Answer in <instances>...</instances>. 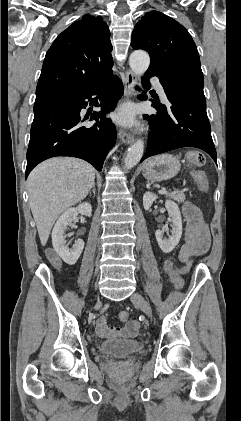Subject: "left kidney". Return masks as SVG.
<instances>
[{"label":"left kidney","mask_w":241,"mask_h":421,"mask_svg":"<svg viewBox=\"0 0 241 421\" xmlns=\"http://www.w3.org/2000/svg\"><path fill=\"white\" fill-rule=\"evenodd\" d=\"M157 198L158 197L155 194L151 192H146L143 195L144 209L149 210L153 202L156 201ZM165 207L169 213V216L172 218L173 225H172V230H171V236H169V238H165L164 229H162V230H156L155 237L160 249L164 253H170L181 239L182 218H181L179 207L175 202L171 200H166Z\"/></svg>","instance_id":"obj_1"}]
</instances>
